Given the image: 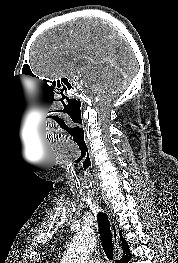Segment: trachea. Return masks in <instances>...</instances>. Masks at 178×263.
<instances>
[{"instance_id": "1", "label": "trachea", "mask_w": 178, "mask_h": 263, "mask_svg": "<svg viewBox=\"0 0 178 263\" xmlns=\"http://www.w3.org/2000/svg\"><path fill=\"white\" fill-rule=\"evenodd\" d=\"M87 170V166H84V171ZM98 229L100 233L101 245L105 251L106 257L109 260H113V240L111 226L108 217L105 213L99 212L97 214Z\"/></svg>"}]
</instances>
